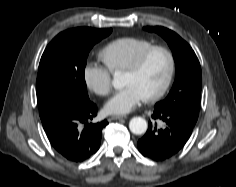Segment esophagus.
Segmentation results:
<instances>
[{
	"mask_svg": "<svg viewBox=\"0 0 236 187\" xmlns=\"http://www.w3.org/2000/svg\"><path fill=\"white\" fill-rule=\"evenodd\" d=\"M125 118L127 117L123 115H116V116H112L111 120H120V119H125Z\"/></svg>",
	"mask_w": 236,
	"mask_h": 187,
	"instance_id": "esophagus-1",
	"label": "esophagus"
}]
</instances>
